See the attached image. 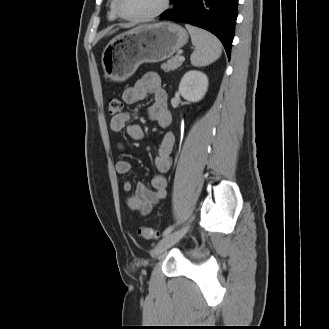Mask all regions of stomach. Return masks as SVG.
<instances>
[{"mask_svg": "<svg viewBox=\"0 0 329 329\" xmlns=\"http://www.w3.org/2000/svg\"><path fill=\"white\" fill-rule=\"evenodd\" d=\"M187 41L185 29L175 23L140 25L117 35L108 43L102 53V67L109 79L124 81L142 63L168 59Z\"/></svg>", "mask_w": 329, "mask_h": 329, "instance_id": "1", "label": "stomach"}]
</instances>
